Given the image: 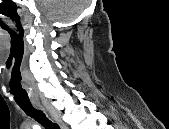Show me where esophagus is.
<instances>
[{
  "label": "esophagus",
  "instance_id": "34e87169",
  "mask_svg": "<svg viewBox=\"0 0 169 129\" xmlns=\"http://www.w3.org/2000/svg\"><path fill=\"white\" fill-rule=\"evenodd\" d=\"M36 107H37L38 109H40V110H44V108L42 107V105H39V104H38V105H36ZM61 124H62V123H61ZM62 126H64V125H61V127H62Z\"/></svg>",
  "mask_w": 169,
  "mask_h": 129
}]
</instances>
